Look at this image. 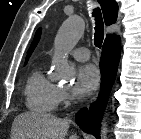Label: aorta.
<instances>
[{"instance_id": "obj_1", "label": "aorta", "mask_w": 141, "mask_h": 139, "mask_svg": "<svg viewBox=\"0 0 141 139\" xmlns=\"http://www.w3.org/2000/svg\"><path fill=\"white\" fill-rule=\"evenodd\" d=\"M85 23L77 15L66 19L59 28L55 38V54L53 64L55 67V78L57 80H72L74 77L73 70L69 67L67 57L68 53L75 47L77 42L83 36ZM107 122L105 118L101 125V138L107 139Z\"/></svg>"}]
</instances>
